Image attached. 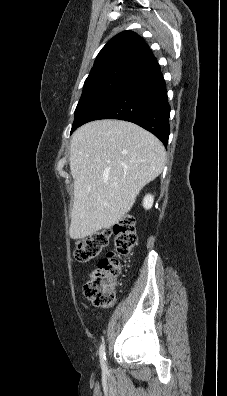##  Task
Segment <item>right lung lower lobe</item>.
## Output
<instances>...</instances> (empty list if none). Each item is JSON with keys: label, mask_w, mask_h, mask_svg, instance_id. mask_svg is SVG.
Wrapping results in <instances>:
<instances>
[{"label": "right lung lower lobe", "mask_w": 227, "mask_h": 396, "mask_svg": "<svg viewBox=\"0 0 227 396\" xmlns=\"http://www.w3.org/2000/svg\"><path fill=\"white\" fill-rule=\"evenodd\" d=\"M169 115L165 81L153 58L134 70L92 108L79 126L99 119L125 120L150 131L167 146Z\"/></svg>", "instance_id": "1"}]
</instances>
